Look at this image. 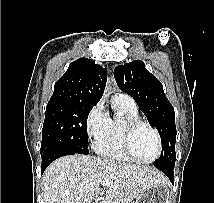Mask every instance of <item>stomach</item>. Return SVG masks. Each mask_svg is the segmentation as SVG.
<instances>
[{
	"label": "stomach",
	"instance_id": "0dacf381",
	"mask_svg": "<svg viewBox=\"0 0 214 203\" xmlns=\"http://www.w3.org/2000/svg\"><path fill=\"white\" fill-rule=\"evenodd\" d=\"M135 203H171L170 190L166 183H160L147 188Z\"/></svg>",
	"mask_w": 214,
	"mask_h": 203
}]
</instances>
